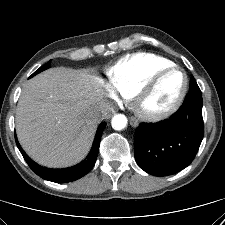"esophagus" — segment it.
Instances as JSON below:
<instances>
[{
	"instance_id": "1",
	"label": "esophagus",
	"mask_w": 225,
	"mask_h": 225,
	"mask_svg": "<svg viewBox=\"0 0 225 225\" xmlns=\"http://www.w3.org/2000/svg\"><path fill=\"white\" fill-rule=\"evenodd\" d=\"M130 124L132 127H137L139 125V122L136 118L130 117Z\"/></svg>"
}]
</instances>
